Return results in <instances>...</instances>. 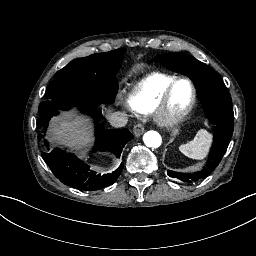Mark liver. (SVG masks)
Masks as SVG:
<instances>
[{
	"instance_id": "liver-1",
	"label": "liver",
	"mask_w": 256,
	"mask_h": 256,
	"mask_svg": "<svg viewBox=\"0 0 256 256\" xmlns=\"http://www.w3.org/2000/svg\"><path fill=\"white\" fill-rule=\"evenodd\" d=\"M108 113V112H107ZM74 115H64L52 123L50 136L57 143H64L69 146L86 145L91 142L88 133V124L83 121H74Z\"/></svg>"
}]
</instances>
